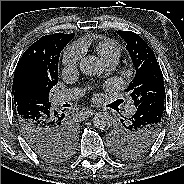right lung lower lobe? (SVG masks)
Instances as JSON below:
<instances>
[{
    "mask_svg": "<svg viewBox=\"0 0 184 184\" xmlns=\"http://www.w3.org/2000/svg\"><path fill=\"white\" fill-rule=\"evenodd\" d=\"M15 115L25 141L36 153L59 144L68 129L64 110L53 111L49 102L15 104Z\"/></svg>",
    "mask_w": 184,
    "mask_h": 184,
    "instance_id": "1",
    "label": "right lung lower lobe"
}]
</instances>
